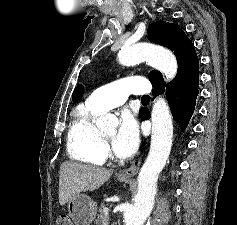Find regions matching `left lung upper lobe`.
<instances>
[{"mask_svg": "<svg viewBox=\"0 0 237 225\" xmlns=\"http://www.w3.org/2000/svg\"><path fill=\"white\" fill-rule=\"evenodd\" d=\"M147 34L151 42L169 48L177 58V75L168 84L199 74V60L195 52V47L178 25L165 21H156L149 25ZM149 79L154 88L166 85L159 71H151L149 73Z\"/></svg>", "mask_w": 237, "mask_h": 225, "instance_id": "5c2ea615", "label": "left lung upper lobe"}]
</instances>
